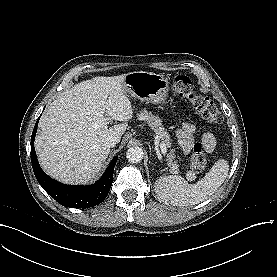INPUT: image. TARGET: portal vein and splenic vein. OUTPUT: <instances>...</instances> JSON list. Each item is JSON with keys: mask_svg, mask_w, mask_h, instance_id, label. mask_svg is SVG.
<instances>
[{"mask_svg": "<svg viewBox=\"0 0 277 277\" xmlns=\"http://www.w3.org/2000/svg\"><path fill=\"white\" fill-rule=\"evenodd\" d=\"M160 149H161L162 154H166L167 149H166V146L164 143H160Z\"/></svg>", "mask_w": 277, "mask_h": 277, "instance_id": "18ae733b", "label": "portal vein and splenic vein"}]
</instances>
